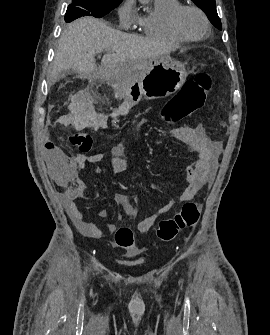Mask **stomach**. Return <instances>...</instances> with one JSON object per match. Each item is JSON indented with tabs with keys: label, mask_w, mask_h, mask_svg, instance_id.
I'll list each match as a JSON object with an SVG mask.
<instances>
[{
	"label": "stomach",
	"mask_w": 270,
	"mask_h": 335,
	"mask_svg": "<svg viewBox=\"0 0 270 335\" xmlns=\"http://www.w3.org/2000/svg\"><path fill=\"white\" fill-rule=\"evenodd\" d=\"M187 76L185 64L172 60L170 56H158L148 60L138 80L123 78L120 90L125 102L129 106H136L143 98L156 100L175 94L183 86Z\"/></svg>",
	"instance_id": "obj_1"
}]
</instances>
